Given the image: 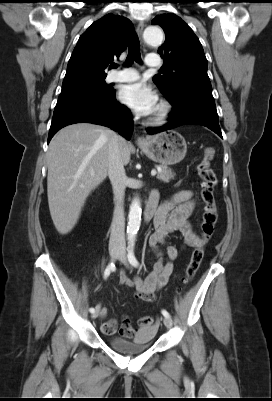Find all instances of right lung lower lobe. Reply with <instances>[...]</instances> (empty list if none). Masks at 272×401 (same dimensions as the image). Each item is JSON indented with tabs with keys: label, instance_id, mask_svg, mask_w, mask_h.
<instances>
[{
	"label": "right lung lower lobe",
	"instance_id": "right-lung-lower-lobe-1",
	"mask_svg": "<svg viewBox=\"0 0 272 401\" xmlns=\"http://www.w3.org/2000/svg\"><path fill=\"white\" fill-rule=\"evenodd\" d=\"M74 123H93L107 126L130 140L133 120L130 110L120 104L115 93L105 101H82L54 110L48 143L64 126Z\"/></svg>",
	"mask_w": 272,
	"mask_h": 401
}]
</instances>
